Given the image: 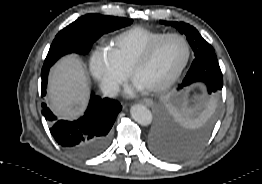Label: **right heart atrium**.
Listing matches in <instances>:
<instances>
[{
    "label": "right heart atrium",
    "mask_w": 262,
    "mask_h": 184,
    "mask_svg": "<svg viewBox=\"0 0 262 184\" xmlns=\"http://www.w3.org/2000/svg\"><path fill=\"white\" fill-rule=\"evenodd\" d=\"M90 72L101 90L115 95L126 82L129 72L122 68L109 50L97 49L90 60Z\"/></svg>",
    "instance_id": "right-heart-atrium-1"
}]
</instances>
